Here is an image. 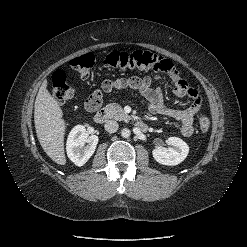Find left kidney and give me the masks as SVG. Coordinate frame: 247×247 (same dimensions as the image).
I'll list each match as a JSON object with an SVG mask.
<instances>
[{
	"label": "left kidney",
	"mask_w": 247,
	"mask_h": 247,
	"mask_svg": "<svg viewBox=\"0 0 247 247\" xmlns=\"http://www.w3.org/2000/svg\"><path fill=\"white\" fill-rule=\"evenodd\" d=\"M167 144L173 147H156L152 151L154 159L162 165L169 166L178 165L184 161L189 153V146L187 143L178 137H169L167 139Z\"/></svg>",
	"instance_id": "1"
}]
</instances>
